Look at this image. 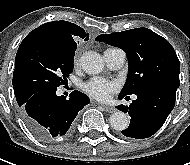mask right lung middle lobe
<instances>
[{"label": "right lung middle lobe", "mask_w": 190, "mask_h": 165, "mask_svg": "<svg viewBox=\"0 0 190 165\" xmlns=\"http://www.w3.org/2000/svg\"><path fill=\"white\" fill-rule=\"evenodd\" d=\"M77 44L60 37L34 33L16 54L13 88L18 103L43 91L57 89L73 71Z\"/></svg>", "instance_id": "obj_1"}]
</instances>
